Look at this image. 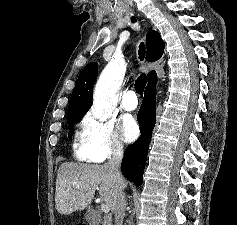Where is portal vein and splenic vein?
<instances>
[{"label":"portal vein and splenic vein","mask_w":237,"mask_h":225,"mask_svg":"<svg viewBox=\"0 0 237 225\" xmlns=\"http://www.w3.org/2000/svg\"><path fill=\"white\" fill-rule=\"evenodd\" d=\"M101 210L104 213H109V211H110L109 206L107 204H101Z\"/></svg>","instance_id":"obj_1"}]
</instances>
